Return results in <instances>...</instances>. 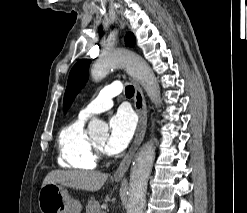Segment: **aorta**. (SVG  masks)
Instances as JSON below:
<instances>
[{"label":"aorta","mask_w":247,"mask_h":213,"mask_svg":"<svg viewBox=\"0 0 247 213\" xmlns=\"http://www.w3.org/2000/svg\"><path fill=\"white\" fill-rule=\"evenodd\" d=\"M119 67L125 68L142 85L154 104L160 102V88L154 73L142 57L132 51L114 49L104 52L91 69L92 79L100 81L109 74L111 69ZM107 128V125L97 118H93L88 124L90 136L105 132ZM154 158V143L148 141L139 149L131 168L127 213H143L146 204L147 183Z\"/></svg>","instance_id":"1"}]
</instances>
